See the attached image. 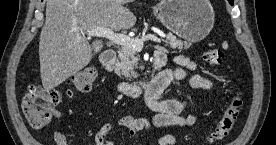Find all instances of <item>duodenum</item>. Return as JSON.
<instances>
[{
  "label": "duodenum",
  "instance_id": "duodenum-1",
  "mask_svg": "<svg viewBox=\"0 0 276 145\" xmlns=\"http://www.w3.org/2000/svg\"><path fill=\"white\" fill-rule=\"evenodd\" d=\"M117 53L112 49L105 50L101 55V64L107 71H113L116 66ZM166 63V57L161 52H157L153 60V69L157 70L162 68ZM169 83V78L163 75V72L158 73L151 79H143L138 83L121 82L118 90L121 94L129 98H137L143 92L150 88L163 90Z\"/></svg>",
  "mask_w": 276,
  "mask_h": 145
}]
</instances>
